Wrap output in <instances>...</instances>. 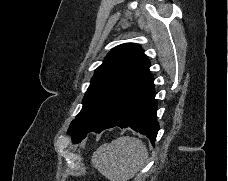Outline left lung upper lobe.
Masks as SVG:
<instances>
[{
    "label": "left lung upper lobe",
    "mask_w": 228,
    "mask_h": 181,
    "mask_svg": "<svg viewBox=\"0 0 228 181\" xmlns=\"http://www.w3.org/2000/svg\"><path fill=\"white\" fill-rule=\"evenodd\" d=\"M149 60L135 43L116 46L91 79L83 107L71 122L68 134L107 128L118 123L141 81L148 75Z\"/></svg>",
    "instance_id": "5c2ea615"
}]
</instances>
